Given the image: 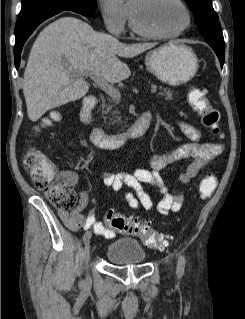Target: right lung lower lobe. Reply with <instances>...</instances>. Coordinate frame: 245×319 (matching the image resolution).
I'll use <instances>...</instances> for the list:
<instances>
[{
  "label": "right lung lower lobe",
  "instance_id": "right-lung-lower-lobe-1",
  "mask_svg": "<svg viewBox=\"0 0 245 319\" xmlns=\"http://www.w3.org/2000/svg\"><path fill=\"white\" fill-rule=\"evenodd\" d=\"M65 10H69V9H56V10L44 11V12L32 15L28 18L17 20L16 27H15V46H14L15 66L17 69L19 68V65H20V55H21L22 47L25 44L26 40L29 38V36L33 33L35 28L44 20L48 19L49 17ZM69 11H74V10H69Z\"/></svg>",
  "mask_w": 245,
  "mask_h": 319
}]
</instances>
